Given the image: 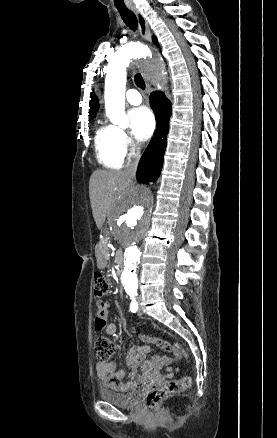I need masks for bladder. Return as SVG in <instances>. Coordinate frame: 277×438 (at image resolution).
Wrapping results in <instances>:
<instances>
[{
	"mask_svg": "<svg viewBox=\"0 0 277 438\" xmlns=\"http://www.w3.org/2000/svg\"><path fill=\"white\" fill-rule=\"evenodd\" d=\"M98 397L101 398L103 402H108L116 407L122 409H133L140 402L141 391L133 390L123 394L116 390L103 388L98 390Z\"/></svg>",
	"mask_w": 277,
	"mask_h": 438,
	"instance_id": "1",
	"label": "bladder"
}]
</instances>
